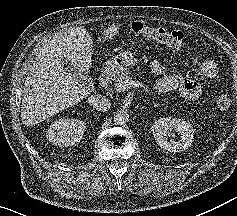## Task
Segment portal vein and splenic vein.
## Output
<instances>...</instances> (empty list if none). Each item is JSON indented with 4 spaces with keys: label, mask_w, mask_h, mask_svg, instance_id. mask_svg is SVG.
Listing matches in <instances>:
<instances>
[{
    "label": "portal vein and splenic vein",
    "mask_w": 237,
    "mask_h": 216,
    "mask_svg": "<svg viewBox=\"0 0 237 216\" xmlns=\"http://www.w3.org/2000/svg\"><path fill=\"white\" fill-rule=\"evenodd\" d=\"M130 83H131L132 86L134 85L131 81L130 82H128V81L120 82L119 81L118 83L115 84V89L117 91H122V90L128 89V88L131 87Z\"/></svg>",
    "instance_id": "1"
}]
</instances>
